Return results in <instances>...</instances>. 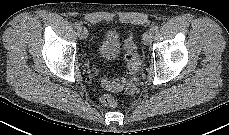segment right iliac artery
<instances>
[{
    "instance_id": "right-iliac-artery-1",
    "label": "right iliac artery",
    "mask_w": 229,
    "mask_h": 135,
    "mask_svg": "<svg viewBox=\"0 0 229 135\" xmlns=\"http://www.w3.org/2000/svg\"><path fill=\"white\" fill-rule=\"evenodd\" d=\"M74 26H75L76 29L79 30L81 28V23L75 22Z\"/></svg>"
}]
</instances>
